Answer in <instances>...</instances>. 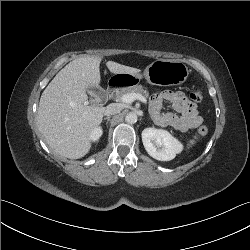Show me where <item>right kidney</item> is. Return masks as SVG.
I'll list each match as a JSON object with an SVG mask.
<instances>
[{
  "instance_id": "right-kidney-1",
  "label": "right kidney",
  "mask_w": 250,
  "mask_h": 250,
  "mask_svg": "<svg viewBox=\"0 0 250 250\" xmlns=\"http://www.w3.org/2000/svg\"><path fill=\"white\" fill-rule=\"evenodd\" d=\"M102 135V129L101 128H95L90 135V139L92 141H97L100 136Z\"/></svg>"
}]
</instances>
